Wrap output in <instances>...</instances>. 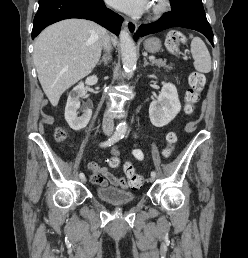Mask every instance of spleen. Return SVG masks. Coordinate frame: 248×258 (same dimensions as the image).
Here are the masks:
<instances>
[{"label": "spleen", "mask_w": 248, "mask_h": 258, "mask_svg": "<svg viewBox=\"0 0 248 258\" xmlns=\"http://www.w3.org/2000/svg\"><path fill=\"white\" fill-rule=\"evenodd\" d=\"M191 41V53L194 59V67L200 73H209L211 71V56L210 53L199 37H193L190 35Z\"/></svg>", "instance_id": "1"}]
</instances>
